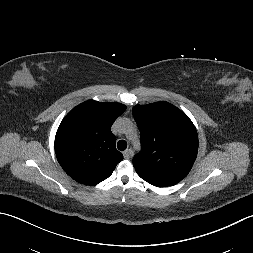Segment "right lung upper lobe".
Wrapping results in <instances>:
<instances>
[{
	"label": "right lung upper lobe",
	"mask_w": 253,
	"mask_h": 253,
	"mask_svg": "<svg viewBox=\"0 0 253 253\" xmlns=\"http://www.w3.org/2000/svg\"><path fill=\"white\" fill-rule=\"evenodd\" d=\"M125 109L117 102L88 100L65 116L56 133L55 153L72 179L95 185L112 174L123 155L115 147L110 127Z\"/></svg>",
	"instance_id": "obj_1"
}]
</instances>
